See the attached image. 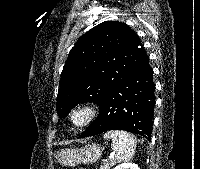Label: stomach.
<instances>
[{"mask_svg":"<svg viewBox=\"0 0 200 169\" xmlns=\"http://www.w3.org/2000/svg\"><path fill=\"white\" fill-rule=\"evenodd\" d=\"M102 148L99 144H88L82 148L64 149L58 152L56 158L64 166L94 163L100 159Z\"/></svg>","mask_w":200,"mask_h":169,"instance_id":"0dacf381","label":"stomach"}]
</instances>
